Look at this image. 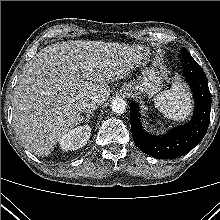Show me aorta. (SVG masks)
Instances as JSON below:
<instances>
[{"mask_svg": "<svg viewBox=\"0 0 220 220\" xmlns=\"http://www.w3.org/2000/svg\"><path fill=\"white\" fill-rule=\"evenodd\" d=\"M126 101L122 98H115L111 102V109L116 114H122L126 111Z\"/></svg>", "mask_w": 220, "mask_h": 220, "instance_id": "762f6f07", "label": "aorta"}]
</instances>
